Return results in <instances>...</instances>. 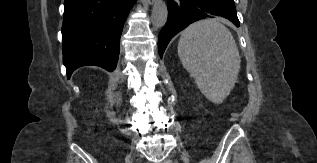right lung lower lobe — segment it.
Returning a JSON list of instances; mask_svg holds the SVG:
<instances>
[{
	"instance_id": "obj_1",
	"label": "right lung lower lobe",
	"mask_w": 317,
	"mask_h": 163,
	"mask_svg": "<svg viewBox=\"0 0 317 163\" xmlns=\"http://www.w3.org/2000/svg\"><path fill=\"white\" fill-rule=\"evenodd\" d=\"M135 0H65L62 26L67 77L79 67L96 65L113 71L120 36Z\"/></svg>"
}]
</instances>
